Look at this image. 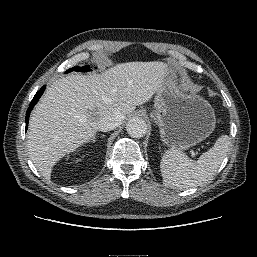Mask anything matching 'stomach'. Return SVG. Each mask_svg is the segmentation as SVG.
<instances>
[{
  "label": "stomach",
  "mask_w": 257,
  "mask_h": 257,
  "mask_svg": "<svg viewBox=\"0 0 257 257\" xmlns=\"http://www.w3.org/2000/svg\"><path fill=\"white\" fill-rule=\"evenodd\" d=\"M150 116L159 126L164 144L179 151L209 137L216 123L208 101L180 84L171 69H167L155 95V108Z\"/></svg>",
  "instance_id": "stomach-1"
}]
</instances>
